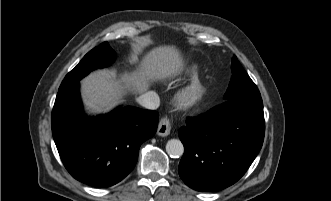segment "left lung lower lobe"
I'll return each mask as SVG.
<instances>
[{"label": "left lung lower lobe", "instance_id": "1", "mask_svg": "<svg viewBox=\"0 0 331 201\" xmlns=\"http://www.w3.org/2000/svg\"><path fill=\"white\" fill-rule=\"evenodd\" d=\"M265 132L260 95L234 98L186 120L179 175L190 188L213 192L237 182L259 153Z\"/></svg>", "mask_w": 331, "mask_h": 201}]
</instances>
